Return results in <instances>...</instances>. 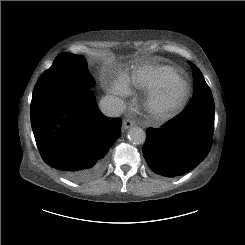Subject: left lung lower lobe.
Listing matches in <instances>:
<instances>
[{"label": "left lung lower lobe", "instance_id": "obj_1", "mask_svg": "<svg viewBox=\"0 0 245 245\" xmlns=\"http://www.w3.org/2000/svg\"><path fill=\"white\" fill-rule=\"evenodd\" d=\"M199 91L204 94L206 87ZM193 102L161 128L147 129L143 154L154 173L164 177L181 176L208 155L214 131V100L211 97L208 101Z\"/></svg>", "mask_w": 245, "mask_h": 245}]
</instances>
